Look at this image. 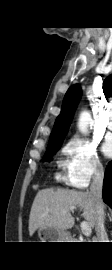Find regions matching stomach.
Here are the masks:
<instances>
[{
	"instance_id": "stomach-1",
	"label": "stomach",
	"mask_w": 112,
	"mask_h": 270,
	"mask_svg": "<svg viewBox=\"0 0 112 270\" xmlns=\"http://www.w3.org/2000/svg\"><path fill=\"white\" fill-rule=\"evenodd\" d=\"M38 237L42 240L41 242H69L70 240L68 231L52 227L39 228Z\"/></svg>"
}]
</instances>
